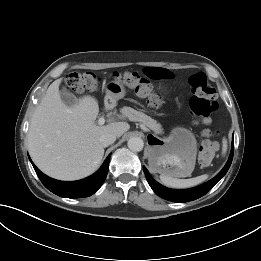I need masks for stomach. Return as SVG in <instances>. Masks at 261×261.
Listing matches in <instances>:
<instances>
[{"label":"stomach","mask_w":261,"mask_h":261,"mask_svg":"<svg viewBox=\"0 0 261 261\" xmlns=\"http://www.w3.org/2000/svg\"><path fill=\"white\" fill-rule=\"evenodd\" d=\"M124 95V86L112 82L106 88L105 100L115 104ZM148 142V162L153 171L173 178L191 175L196 163L197 141L190 130L175 127L168 137L150 135Z\"/></svg>","instance_id":"obj_1"}]
</instances>
